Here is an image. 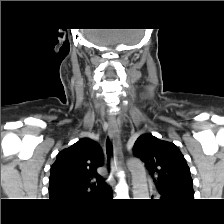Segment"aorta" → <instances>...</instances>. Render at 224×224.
<instances>
[{
	"label": "aorta",
	"mask_w": 224,
	"mask_h": 224,
	"mask_svg": "<svg viewBox=\"0 0 224 224\" xmlns=\"http://www.w3.org/2000/svg\"><path fill=\"white\" fill-rule=\"evenodd\" d=\"M132 176L133 199H149L146 171L144 164L136 158L127 161Z\"/></svg>",
	"instance_id": "aorta-1"
}]
</instances>
